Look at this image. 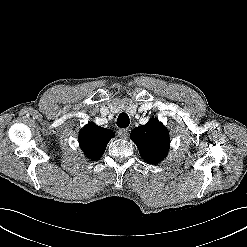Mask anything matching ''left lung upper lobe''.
I'll list each match as a JSON object with an SVG mask.
<instances>
[{"label":"left lung upper lobe","instance_id":"obj_1","mask_svg":"<svg viewBox=\"0 0 247 247\" xmlns=\"http://www.w3.org/2000/svg\"><path fill=\"white\" fill-rule=\"evenodd\" d=\"M137 145L141 157L151 164H156L164 159L169 150V133L165 126L157 119L137 128L130 134Z\"/></svg>","mask_w":247,"mask_h":247}]
</instances>
